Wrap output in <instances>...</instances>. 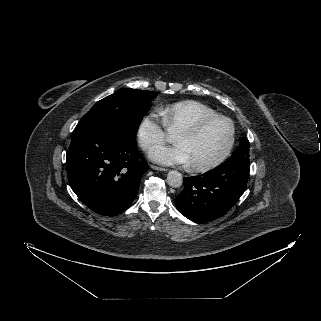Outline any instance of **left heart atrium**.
I'll return each mask as SVG.
<instances>
[{"label":"left heart atrium","mask_w":321,"mask_h":321,"mask_svg":"<svg viewBox=\"0 0 321 321\" xmlns=\"http://www.w3.org/2000/svg\"><path fill=\"white\" fill-rule=\"evenodd\" d=\"M149 157L154 162L164 165H178L190 163V156L186 146L177 143L173 146H157L150 150Z\"/></svg>","instance_id":"left-heart-atrium-1"}]
</instances>
